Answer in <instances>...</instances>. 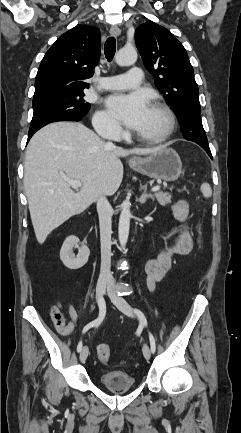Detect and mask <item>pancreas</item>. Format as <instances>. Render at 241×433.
Here are the masks:
<instances>
[{
  "label": "pancreas",
  "mask_w": 241,
  "mask_h": 433,
  "mask_svg": "<svg viewBox=\"0 0 241 433\" xmlns=\"http://www.w3.org/2000/svg\"><path fill=\"white\" fill-rule=\"evenodd\" d=\"M154 197L157 199L159 204L162 206L171 204L172 196L169 193L157 192L154 194Z\"/></svg>",
  "instance_id": "1"
}]
</instances>
